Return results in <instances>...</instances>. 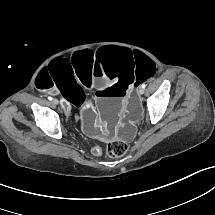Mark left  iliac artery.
<instances>
[{
	"label": "left iliac artery",
	"mask_w": 215,
	"mask_h": 215,
	"mask_svg": "<svg viewBox=\"0 0 215 215\" xmlns=\"http://www.w3.org/2000/svg\"><path fill=\"white\" fill-rule=\"evenodd\" d=\"M141 86H142L143 88H145V87H146V84H145V83H143Z\"/></svg>",
	"instance_id": "44dca946"
}]
</instances>
